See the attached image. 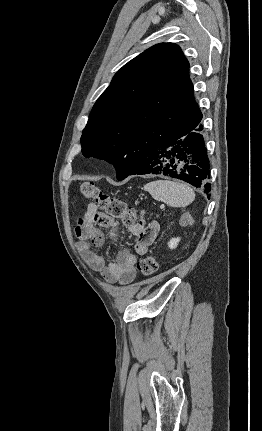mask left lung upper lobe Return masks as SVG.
Here are the masks:
<instances>
[{
  "label": "left lung upper lobe",
  "instance_id": "obj_1",
  "mask_svg": "<svg viewBox=\"0 0 262 431\" xmlns=\"http://www.w3.org/2000/svg\"><path fill=\"white\" fill-rule=\"evenodd\" d=\"M180 47L161 43L125 64L98 98L82 132V153L112 163L117 179L140 157L202 114Z\"/></svg>",
  "mask_w": 262,
  "mask_h": 431
}]
</instances>
